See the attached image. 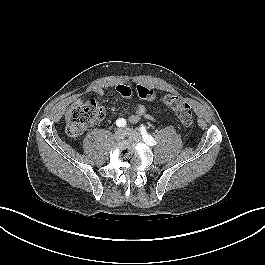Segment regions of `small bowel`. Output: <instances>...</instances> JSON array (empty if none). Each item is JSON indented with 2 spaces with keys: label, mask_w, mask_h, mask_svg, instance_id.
I'll list each match as a JSON object with an SVG mask.
<instances>
[{
  "label": "small bowel",
  "mask_w": 265,
  "mask_h": 265,
  "mask_svg": "<svg viewBox=\"0 0 265 265\" xmlns=\"http://www.w3.org/2000/svg\"><path fill=\"white\" fill-rule=\"evenodd\" d=\"M117 92L123 97L129 98L131 96V89L126 85H118L116 87ZM96 93L100 96L104 95V90L99 88L96 90ZM165 95L161 98L163 99ZM142 117L148 118L150 120H154L155 117L147 112V109L142 104H137L135 106V112L129 116V120L132 123H137L140 121Z\"/></svg>",
  "instance_id": "small-bowel-1"
}]
</instances>
